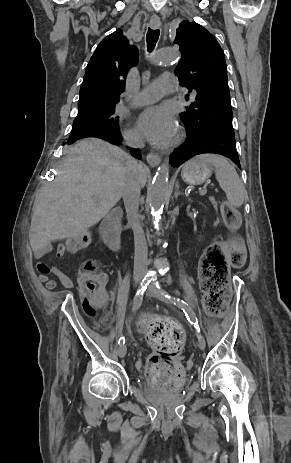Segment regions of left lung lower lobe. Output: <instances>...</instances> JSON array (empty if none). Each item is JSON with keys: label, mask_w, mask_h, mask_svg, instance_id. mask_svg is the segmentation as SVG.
<instances>
[{"label": "left lung lower lobe", "mask_w": 291, "mask_h": 463, "mask_svg": "<svg viewBox=\"0 0 291 463\" xmlns=\"http://www.w3.org/2000/svg\"><path fill=\"white\" fill-rule=\"evenodd\" d=\"M186 134L185 142L170 156V164L173 167H179L196 155L211 153L231 159L241 169L234 135L187 126Z\"/></svg>", "instance_id": "left-lung-lower-lobe-1"}]
</instances>
